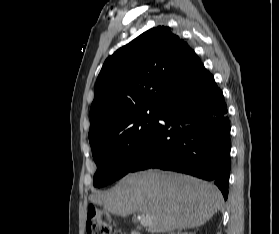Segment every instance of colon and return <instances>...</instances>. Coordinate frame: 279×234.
I'll use <instances>...</instances> for the list:
<instances>
[{
	"label": "colon",
	"instance_id": "1",
	"mask_svg": "<svg viewBox=\"0 0 279 234\" xmlns=\"http://www.w3.org/2000/svg\"><path fill=\"white\" fill-rule=\"evenodd\" d=\"M87 234H110L111 233V216L109 213L98 210L94 207L88 211Z\"/></svg>",
	"mask_w": 279,
	"mask_h": 234
}]
</instances>
